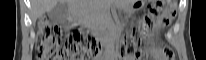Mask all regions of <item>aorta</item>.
<instances>
[{
  "mask_svg": "<svg viewBox=\"0 0 206 60\" xmlns=\"http://www.w3.org/2000/svg\"><path fill=\"white\" fill-rule=\"evenodd\" d=\"M107 32H108L107 35L110 38L111 37V30H110V28H108Z\"/></svg>",
  "mask_w": 206,
  "mask_h": 60,
  "instance_id": "762f6f07",
  "label": "aorta"
}]
</instances>
